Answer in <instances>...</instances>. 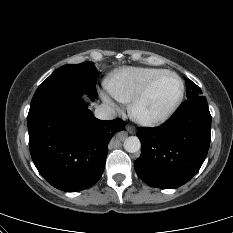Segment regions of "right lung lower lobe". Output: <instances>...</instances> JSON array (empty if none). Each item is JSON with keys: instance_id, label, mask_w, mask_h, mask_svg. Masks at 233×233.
<instances>
[{"instance_id": "1", "label": "right lung lower lobe", "mask_w": 233, "mask_h": 233, "mask_svg": "<svg viewBox=\"0 0 233 233\" xmlns=\"http://www.w3.org/2000/svg\"><path fill=\"white\" fill-rule=\"evenodd\" d=\"M27 122L36 168L52 186L66 192L88 189L100 179L108 143L126 125L120 119L95 118L76 93L31 104Z\"/></svg>"}]
</instances>
